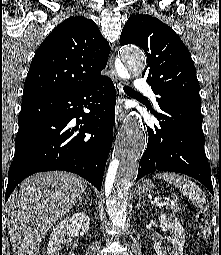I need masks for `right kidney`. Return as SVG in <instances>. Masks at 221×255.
Here are the masks:
<instances>
[{
  "label": "right kidney",
  "instance_id": "ca27d5eb",
  "mask_svg": "<svg viewBox=\"0 0 221 255\" xmlns=\"http://www.w3.org/2000/svg\"><path fill=\"white\" fill-rule=\"evenodd\" d=\"M90 218L85 212H77L62 220L52 231L47 247V255H59L67 237L73 235L77 230L83 232L89 230ZM69 255H75L74 252Z\"/></svg>",
  "mask_w": 221,
  "mask_h": 255
}]
</instances>
